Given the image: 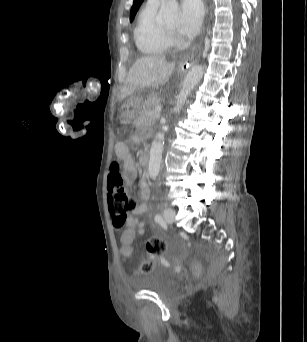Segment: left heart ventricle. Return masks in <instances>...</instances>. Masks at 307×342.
Masks as SVG:
<instances>
[{
    "instance_id": "1",
    "label": "left heart ventricle",
    "mask_w": 307,
    "mask_h": 342,
    "mask_svg": "<svg viewBox=\"0 0 307 342\" xmlns=\"http://www.w3.org/2000/svg\"><path fill=\"white\" fill-rule=\"evenodd\" d=\"M161 29L166 36L174 39L175 33H176V27L175 26H171V25L163 26V27H161Z\"/></svg>"
}]
</instances>
